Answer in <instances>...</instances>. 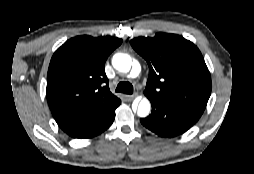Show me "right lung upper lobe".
<instances>
[{
  "mask_svg": "<svg viewBox=\"0 0 254 174\" xmlns=\"http://www.w3.org/2000/svg\"><path fill=\"white\" fill-rule=\"evenodd\" d=\"M122 43L117 37L77 36L53 54L47 73V100L56 122L85 106L120 101L109 89L105 62Z\"/></svg>",
  "mask_w": 254,
  "mask_h": 174,
  "instance_id": "1",
  "label": "right lung upper lobe"
}]
</instances>
